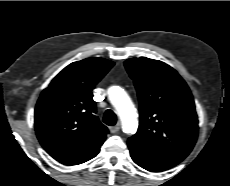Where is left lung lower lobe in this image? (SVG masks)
<instances>
[{
    "label": "left lung lower lobe",
    "instance_id": "obj_1",
    "mask_svg": "<svg viewBox=\"0 0 230 186\" xmlns=\"http://www.w3.org/2000/svg\"><path fill=\"white\" fill-rule=\"evenodd\" d=\"M128 147L133 161L140 167L151 172L167 170L183 160V158L172 154L145 149L143 146L131 141H128Z\"/></svg>",
    "mask_w": 230,
    "mask_h": 186
}]
</instances>
